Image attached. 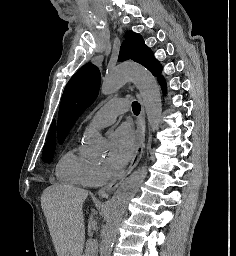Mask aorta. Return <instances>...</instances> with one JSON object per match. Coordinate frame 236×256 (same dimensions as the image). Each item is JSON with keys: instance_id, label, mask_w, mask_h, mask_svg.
<instances>
[{"instance_id": "762f6f07", "label": "aorta", "mask_w": 236, "mask_h": 256, "mask_svg": "<svg viewBox=\"0 0 236 256\" xmlns=\"http://www.w3.org/2000/svg\"><path fill=\"white\" fill-rule=\"evenodd\" d=\"M127 81H132L137 86L151 130L157 131L162 116L161 94L155 77L146 68L136 64H123L116 67L105 75L100 92L103 95L112 94ZM85 141L95 150L102 149V140L95 132L86 133ZM146 176L147 166H142L126 178L114 193L108 208L107 222L101 232L100 256H111L119 224L127 205Z\"/></svg>"}]
</instances>
